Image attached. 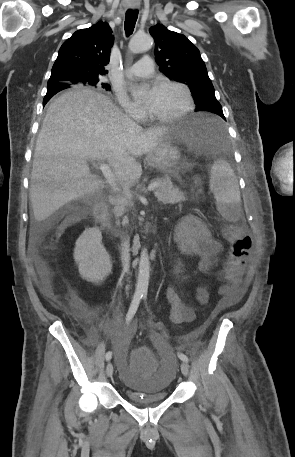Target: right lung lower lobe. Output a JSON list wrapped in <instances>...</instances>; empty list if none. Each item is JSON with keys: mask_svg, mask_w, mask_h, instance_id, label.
<instances>
[{"mask_svg": "<svg viewBox=\"0 0 295 457\" xmlns=\"http://www.w3.org/2000/svg\"><path fill=\"white\" fill-rule=\"evenodd\" d=\"M65 88H67V87H65L63 85H59V84L47 86V94L44 97L43 105H45L54 94H56L57 92L65 89Z\"/></svg>", "mask_w": 295, "mask_h": 457, "instance_id": "obj_1", "label": "right lung lower lobe"}]
</instances>
